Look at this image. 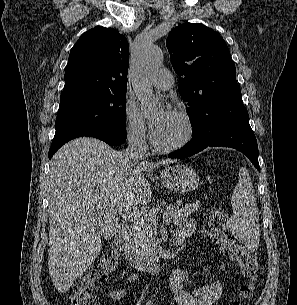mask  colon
<instances>
[{
	"mask_svg": "<svg viewBox=\"0 0 297 305\" xmlns=\"http://www.w3.org/2000/svg\"><path fill=\"white\" fill-rule=\"evenodd\" d=\"M227 220V214L223 208H212L207 214L208 233L222 253L240 268L246 279V284L240 290V301L233 303V305H242V300L251 294L259 278L260 266L256 254L239 244L230 235ZM119 262L120 247L113 243L82 276L74 281L69 304L96 305V283L112 274L117 269Z\"/></svg>",
	"mask_w": 297,
	"mask_h": 305,
	"instance_id": "obj_1",
	"label": "colon"
}]
</instances>
